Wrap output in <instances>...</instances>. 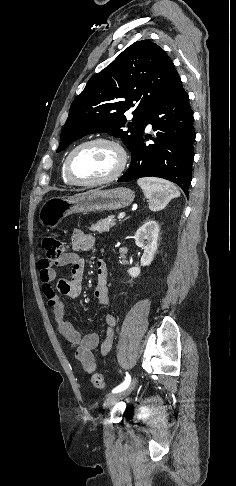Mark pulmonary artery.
<instances>
[{"instance_id": "e3ab8cb5", "label": "pulmonary artery", "mask_w": 236, "mask_h": 486, "mask_svg": "<svg viewBox=\"0 0 236 486\" xmlns=\"http://www.w3.org/2000/svg\"><path fill=\"white\" fill-rule=\"evenodd\" d=\"M148 128H151V124L148 125Z\"/></svg>"}]
</instances>
